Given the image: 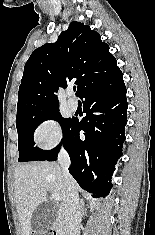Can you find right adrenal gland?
<instances>
[{"label":"right adrenal gland","mask_w":155,"mask_h":235,"mask_svg":"<svg viewBox=\"0 0 155 235\" xmlns=\"http://www.w3.org/2000/svg\"><path fill=\"white\" fill-rule=\"evenodd\" d=\"M80 208H81V211H82V215H84L85 214V209H84V201L83 200H81V202H80Z\"/></svg>","instance_id":"right-adrenal-gland-1"}]
</instances>
